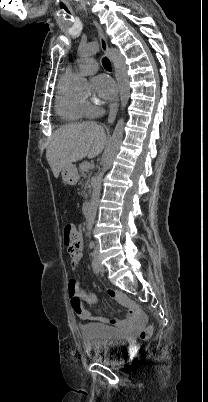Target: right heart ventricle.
<instances>
[{
	"label": "right heart ventricle",
	"mask_w": 208,
	"mask_h": 402,
	"mask_svg": "<svg viewBox=\"0 0 208 402\" xmlns=\"http://www.w3.org/2000/svg\"><path fill=\"white\" fill-rule=\"evenodd\" d=\"M74 75L66 72L57 87L55 110L57 115L68 126H82L87 123L84 99L81 94L70 88Z\"/></svg>",
	"instance_id": "obj_1"
}]
</instances>
